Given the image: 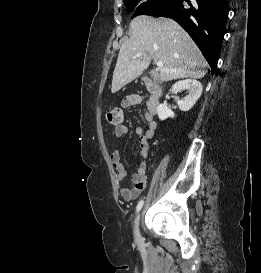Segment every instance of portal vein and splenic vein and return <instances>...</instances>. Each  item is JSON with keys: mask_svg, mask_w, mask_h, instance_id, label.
Returning a JSON list of instances; mask_svg holds the SVG:
<instances>
[{"mask_svg": "<svg viewBox=\"0 0 261 273\" xmlns=\"http://www.w3.org/2000/svg\"><path fill=\"white\" fill-rule=\"evenodd\" d=\"M142 56V53H137L133 58L136 59V58H139ZM157 67L160 69L163 67V63L161 61H158L157 63Z\"/></svg>", "mask_w": 261, "mask_h": 273, "instance_id": "18ae733b", "label": "portal vein and splenic vein"}]
</instances>
